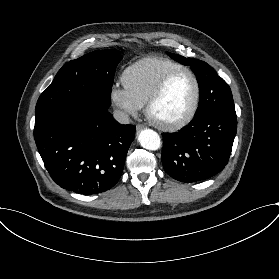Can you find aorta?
<instances>
[{"label": "aorta", "instance_id": "1", "mask_svg": "<svg viewBox=\"0 0 279 279\" xmlns=\"http://www.w3.org/2000/svg\"><path fill=\"white\" fill-rule=\"evenodd\" d=\"M138 140L140 145L147 150H157L161 146L160 136L151 129L141 131Z\"/></svg>", "mask_w": 279, "mask_h": 279}]
</instances>
